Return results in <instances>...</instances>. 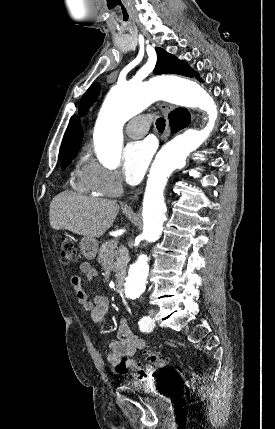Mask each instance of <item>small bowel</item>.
<instances>
[{
	"label": "small bowel",
	"mask_w": 275,
	"mask_h": 429,
	"mask_svg": "<svg viewBox=\"0 0 275 429\" xmlns=\"http://www.w3.org/2000/svg\"><path fill=\"white\" fill-rule=\"evenodd\" d=\"M81 275H86L88 279H92L97 275V272L88 262H83L79 266V272L71 276L70 282L78 304L85 312L89 313L92 322L99 325L104 321L109 311V300L105 296L98 295L93 301H90L82 286ZM145 349L146 342L132 332L127 320L123 318L117 328V340L108 345L107 360L118 372H120L121 367H124L125 372L123 373H126L130 369H137L141 366V363L134 356L138 351Z\"/></svg>",
	"instance_id": "small-bowel-1"
}]
</instances>
